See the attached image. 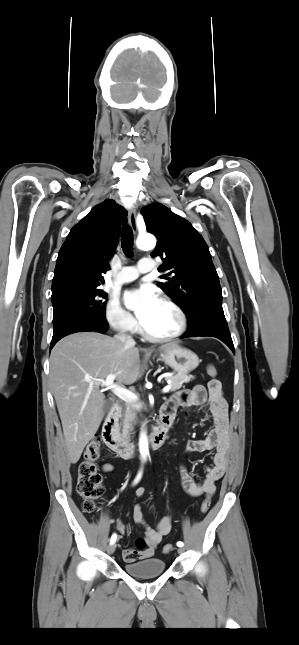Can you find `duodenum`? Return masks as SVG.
Wrapping results in <instances>:
<instances>
[{"label":"duodenum","instance_id":"obj_1","mask_svg":"<svg viewBox=\"0 0 299 645\" xmlns=\"http://www.w3.org/2000/svg\"><path fill=\"white\" fill-rule=\"evenodd\" d=\"M120 416V407L114 405L110 410L102 430V438L104 443L120 457L129 459L134 456V446L124 439L118 429V421ZM173 418L168 410L162 408L160 414V422L153 430L150 436V446L153 449L160 448L167 439L169 429L172 425Z\"/></svg>","mask_w":299,"mask_h":645}]
</instances>
